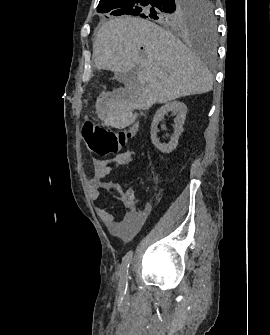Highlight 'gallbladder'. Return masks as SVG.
Here are the masks:
<instances>
[{
  "mask_svg": "<svg viewBox=\"0 0 270 335\" xmlns=\"http://www.w3.org/2000/svg\"><path fill=\"white\" fill-rule=\"evenodd\" d=\"M127 76V72H121V74H119V78H126Z\"/></svg>",
  "mask_w": 270,
  "mask_h": 335,
  "instance_id": "1",
  "label": "gallbladder"
}]
</instances>
